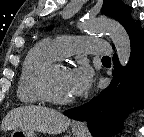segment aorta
<instances>
[{"instance_id": "1", "label": "aorta", "mask_w": 144, "mask_h": 137, "mask_svg": "<svg viewBox=\"0 0 144 137\" xmlns=\"http://www.w3.org/2000/svg\"><path fill=\"white\" fill-rule=\"evenodd\" d=\"M81 27L89 32H107L116 48L119 62L125 67L130 59L131 42L124 27L114 20L86 19L82 21Z\"/></svg>"}]
</instances>
